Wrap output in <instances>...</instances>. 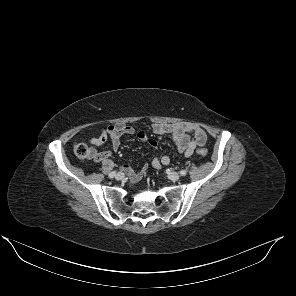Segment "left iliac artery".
Instances as JSON below:
<instances>
[{
	"label": "left iliac artery",
	"mask_w": 296,
	"mask_h": 296,
	"mask_svg": "<svg viewBox=\"0 0 296 296\" xmlns=\"http://www.w3.org/2000/svg\"><path fill=\"white\" fill-rule=\"evenodd\" d=\"M180 174H181L182 176H185V175L187 174V171H186V170H181V171H180Z\"/></svg>",
	"instance_id": "44dca946"
}]
</instances>
